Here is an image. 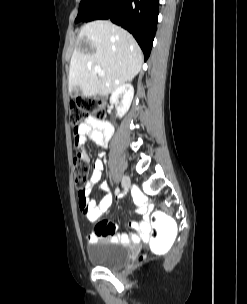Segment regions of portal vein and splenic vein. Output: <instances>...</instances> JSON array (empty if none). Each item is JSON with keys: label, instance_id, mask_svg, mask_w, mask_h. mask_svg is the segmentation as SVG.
Wrapping results in <instances>:
<instances>
[{"label": "portal vein and splenic vein", "instance_id": "18ae733b", "mask_svg": "<svg viewBox=\"0 0 247 304\" xmlns=\"http://www.w3.org/2000/svg\"><path fill=\"white\" fill-rule=\"evenodd\" d=\"M94 71H95L99 76H104V75H105L104 71H103V70L101 69V67L98 66V65L94 66Z\"/></svg>", "mask_w": 247, "mask_h": 304}]
</instances>
